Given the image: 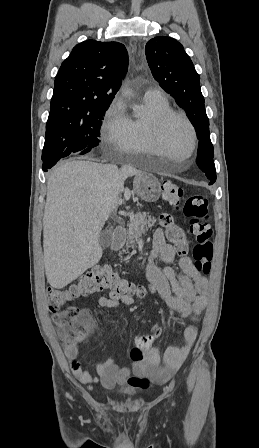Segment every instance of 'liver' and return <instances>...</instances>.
<instances>
[{"instance_id":"1","label":"liver","mask_w":259,"mask_h":448,"mask_svg":"<svg viewBox=\"0 0 259 448\" xmlns=\"http://www.w3.org/2000/svg\"><path fill=\"white\" fill-rule=\"evenodd\" d=\"M128 176L127 168L84 160L64 162L53 170L43 218L45 274L52 288H64L98 264L99 234ZM91 212H97V218Z\"/></svg>"}]
</instances>
